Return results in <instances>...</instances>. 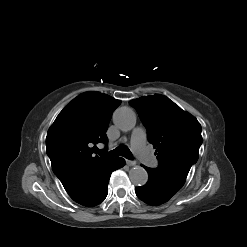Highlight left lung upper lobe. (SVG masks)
<instances>
[{"instance_id": "5c2ea615", "label": "left lung upper lobe", "mask_w": 247, "mask_h": 247, "mask_svg": "<svg viewBox=\"0 0 247 247\" xmlns=\"http://www.w3.org/2000/svg\"><path fill=\"white\" fill-rule=\"evenodd\" d=\"M156 149L158 169L182 187L191 166L196 163L202 143L201 125L161 94L131 100Z\"/></svg>"}]
</instances>
